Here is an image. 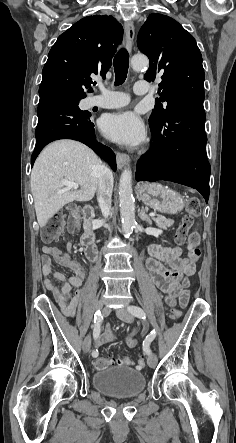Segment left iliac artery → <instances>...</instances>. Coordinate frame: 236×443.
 Returning <instances> with one entry per match:
<instances>
[{"label":"left iliac artery","mask_w":236,"mask_h":443,"mask_svg":"<svg viewBox=\"0 0 236 443\" xmlns=\"http://www.w3.org/2000/svg\"><path fill=\"white\" fill-rule=\"evenodd\" d=\"M127 309L135 317L140 318V319H146V314H145L144 310L142 308H140L139 306L131 305ZM155 337H156V331H155V329H153L150 332V334L147 335L145 340L143 341V350L147 354H150L149 346H150V343L155 339Z\"/></svg>","instance_id":"left-iliac-artery-1"}]
</instances>
